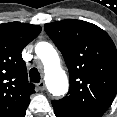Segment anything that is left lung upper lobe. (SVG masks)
Segmentation results:
<instances>
[{
    "instance_id": "obj_1",
    "label": "left lung upper lobe",
    "mask_w": 117,
    "mask_h": 117,
    "mask_svg": "<svg viewBox=\"0 0 117 117\" xmlns=\"http://www.w3.org/2000/svg\"><path fill=\"white\" fill-rule=\"evenodd\" d=\"M69 70L68 94L52 105L77 117H101L117 93V50L109 35L82 20L45 24Z\"/></svg>"
}]
</instances>
